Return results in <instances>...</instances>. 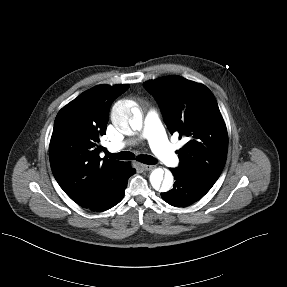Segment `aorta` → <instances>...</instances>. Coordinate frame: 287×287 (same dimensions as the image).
Listing matches in <instances>:
<instances>
[{
    "instance_id": "1",
    "label": "aorta",
    "mask_w": 287,
    "mask_h": 287,
    "mask_svg": "<svg viewBox=\"0 0 287 287\" xmlns=\"http://www.w3.org/2000/svg\"><path fill=\"white\" fill-rule=\"evenodd\" d=\"M111 119L114 126L122 132H127L129 129L133 131H140L142 129L141 111L139 108L129 106L125 102H119L114 105ZM173 182V175L169 172L164 177V170L162 168H156L150 174V183L157 191H169L173 186Z\"/></svg>"
}]
</instances>
